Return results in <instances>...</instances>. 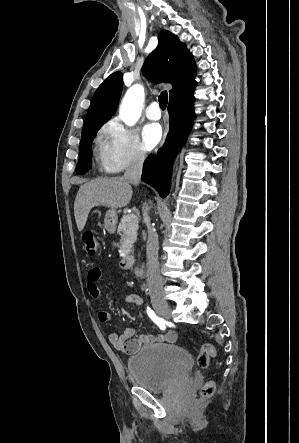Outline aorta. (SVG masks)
Wrapping results in <instances>:
<instances>
[{
  "instance_id": "1",
  "label": "aorta",
  "mask_w": 299,
  "mask_h": 443,
  "mask_svg": "<svg viewBox=\"0 0 299 443\" xmlns=\"http://www.w3.org/2000/svg\"><path fill=\"white\" fill-rule=\"evenodd\" d=\"M144 98V88L141 85H133L127 90L119 111V116L126 125L132 126L137 122Z\"/></svg>"
}]
</instances>
